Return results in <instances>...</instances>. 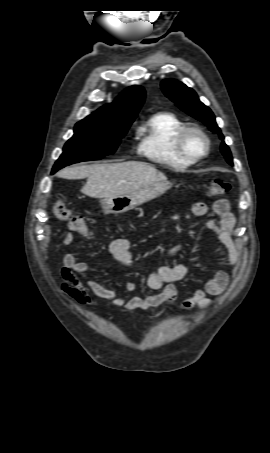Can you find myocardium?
I'll return each instance as SVG.
<instances>
[{
	"instance_id": "myocardium-1",
	"label": "myocardium",
	"mask_w": 270,
	"mask_h": 453,
	"mask_svg": "<svg viewBox=\"0 0 270 453\" xmlns=\"http://www.w3.org/2000/svg\"><path fill=\"white\" fill-rule=\"evenodd\" d=\"M189 134H198L200 135L204 141H205V148L204 150L199 153V154H193L189 152V150L186 147V138ZM175 147L177 151L179 152L180 155H182L184 158L197 162L203 158H205L211 148V141L207 133L200 128L199 126H184L176 135L175 137Z\"/></svg>"
}]
</instances>
